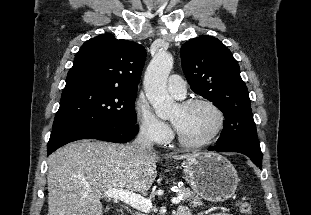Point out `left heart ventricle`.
I'll use <instances>...</instances> for the list:
<instances>
[{
  "label": "left heart ventricle",
  "mask_w": 311,
  "mask_h": 215,
  "mask_svg": "<svg viewBox=\"0 0 311 215\" xmlns=\"http://www.w3.org/2000/svg\"><path fill=\"white\" fill-rule=\"evenodd\" d=\"M170 120L180 135L187 141L199 142L208 137L217 124L215 112L206 105H194L189 108L175 107Z\"/></svg>",
  "instance_id": "1"
}]
</instances>
